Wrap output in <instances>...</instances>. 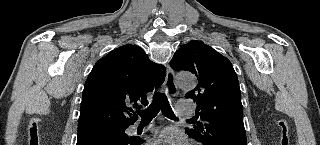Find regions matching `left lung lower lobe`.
<instances>
[{"label": "left lung lower lobe", "instance_id": "obj_1", "mask_svg": "<svg viewBox=\"0 0 320 145\" xmlns=\"http://www.w3.org/2000/svg\"><path fill=\"white\" fill-rule=\"evenodd\" d=\"M218 145H247L246 140L237 137H226Z\"/></svg>", "mask_w": 320, "mask_h": 145}]
</instances>
